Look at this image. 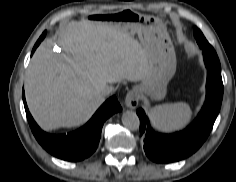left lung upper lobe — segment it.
<instances>
[{
  "label": "left lung upper lobe",
  "instance_id": "5c2ea615",
  "mask_svg": "<svg viewBox=\"0 0 236 182\" xmlns=\"http://www.w3.org/2000/svg\"><path fill=\"white\" fill-rule=\"evenodd\" d=\"M194 36L198 45L203 50L206 67L221 71L220 61L214 48L208 43L203 33L196 26L194 27Z\"/></svg>",
  "mask_w": 236,
  "mask_h": 182
}]
</instances>
